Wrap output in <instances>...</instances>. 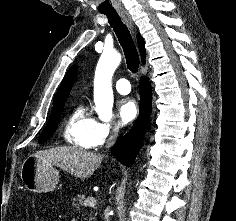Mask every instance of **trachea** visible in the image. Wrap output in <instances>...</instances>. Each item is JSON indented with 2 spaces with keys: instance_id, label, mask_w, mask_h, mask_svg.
Returning <instances> with one entry per match:
<instances>
[{
  "instance_id": "3493384b",
  "label": "trachea",
  "mask_w": 236,
  "mask_h": 221,
  "mask_svg": "<svg viewBox=\"0 0 236 221\" xmlns=\"http://www.w3.org/2000/svg\"><path fill=\"white\" fill-rule=\"evenodd\" d=\"M106 15L111 27L113 28L118 40L123 48L127 68L134 74L139 69V55L127 26L121 21L116 11L103 12Z\"/></svg>"
}]
</instances>
